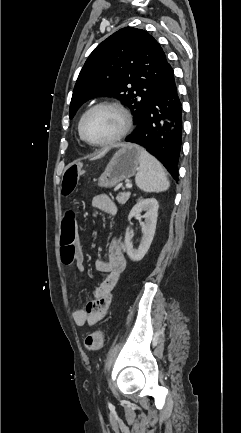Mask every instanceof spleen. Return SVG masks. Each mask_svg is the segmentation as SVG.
Wrapping results in <instances>:
<instances>
[{
    "label": "spleen",
    "instance_id": "spleen-1",
    "mask_svg": "<svg viewBox=\"0 0 241 433\" xmlns=\"http://www.w3.org/2000/svg\"><path fill=\"white\" fill-rule=\"evenodd\" d=\"M140 169L135 177L136 185L144 192H164L169 189L170 182L159 161L145 149L140 150Z\"/></svg>",
    "mask_w": 241,
    "mask_h": 433
}]
</instances>
